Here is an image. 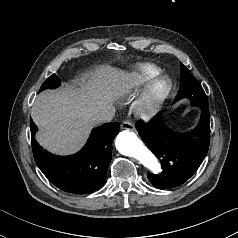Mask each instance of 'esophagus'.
Segmentation results:
<instances>
[{
    "label": "esophagus",
    "instance_id": "34e87169",
    "mask_svg": "<svg viewBox=\"0 0 238 238\" xmlns=\"http://www.w3.org/2000/svg\"><path fill=\"white\" fill-rule=\"evenodd\" d=\"M120 127H121L122 130H129V131L134 130V125H133V123L130 122V121H128V120L122 122V124H121Z\"/></svg>",
    "mask_w": 238,
    "mask_h": 238
}]
</instances>
